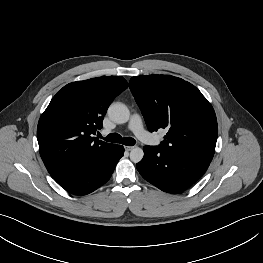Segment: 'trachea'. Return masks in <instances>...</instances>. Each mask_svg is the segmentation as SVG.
I'll use <instances>...</instances> for the list:
<instances>
[{
	"instance_id": "1",
	"label": "trachea",
	"mask_w": 263,
	"mask_h": 263,
	"mask_svg": "<svg viewBox=\"0 0 263 263\" xmlns=\"http://www.w3.org/2000/svg\"><path fill=\"white\" fill-rule=\"evenodd\" d=\"M106 141L108 142H113V143H121L123 145H127V146H133L136 141L134 138L131 137H124L122 138L119 134L117 133H111L109 134L106 138Z\"/></svg>"
}]
</instances>
